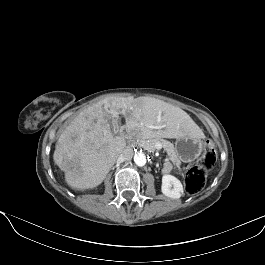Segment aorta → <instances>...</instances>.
<instances>
[{
  "label": "aorta",
  "instance_id": "1",
  "mask_svg": "<svg viewBox=\"0 0 265 265\" xmlns=\"http://www.w3.org/2000/svg\"><path fill=\"white\" fill-rule=\"evenodd\" d=\"M134 162L137 166H140V167L144 166L147 162L145 154L142 152L135 153Z\"/></svg>",
  "mask_w": 265,
  "mask_h": 265
}]
</instances>
